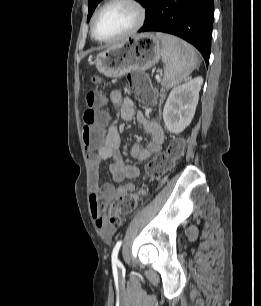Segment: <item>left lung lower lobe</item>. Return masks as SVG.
<instances>
[{
    "instance_id": "1",
    "label": "left lung lower lobe",
    "mask_w": 261,
    "mask_h": 306,
    "mask_svg": "<svg viewBox=\"0 0 261 306\" xmlns=\"http://www.w3.org/2000/svg\"><path fill=\"white\" fill-rule=\"evenodd\" d=\"M139 32L176 35L194 45L209 63L214 0H150Z\"/></svg>"
}]
</instances>
